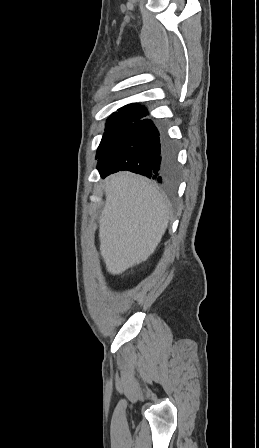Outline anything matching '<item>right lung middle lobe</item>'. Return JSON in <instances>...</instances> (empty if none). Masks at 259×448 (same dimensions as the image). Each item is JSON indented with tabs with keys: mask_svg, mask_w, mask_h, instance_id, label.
<instances>
[{
	"mask_svg": "<svg viewBox=\"0 0 259 448\" xmlns=\"http://www.w3.org/2000/svg\"><path fill=\"white\" fill-rule=\"evenodd\" d=\"M143 117L139 114H112L107 120L105 133L97 149L96 158H99L107 147L128 129L131 124Z\"/></svg>",
	"mask_w": 259,
	"mask_h": 448,
	"instance_id": "obj_1",
	"label": "right lung middle lobe"
}]
</instances>
